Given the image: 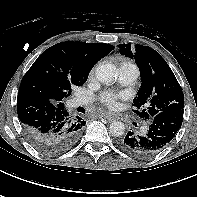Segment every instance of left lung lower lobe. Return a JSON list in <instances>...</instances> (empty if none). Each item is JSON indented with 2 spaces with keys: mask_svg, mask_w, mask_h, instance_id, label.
I'll return each mask as SVG.
<instances>
[{
  "mask_svg": "<svg viewBox=\"0 0 197 197\" xmlns=\"http://www.w3.org/2000/svg\"><path fill=\"white\" fill-rule=\"evenodd\" d=\"M183 109L163 111L154 116L143 135L129 131L120 138L119 147L126 153L145 158L162 151L182 125Z\"/></svg>",
  "mask_w": 197,
  "mask_h": 197,
  "instance_id": "left-lung-lower-lobe-1",
  "label": "left lung lower lobe"
}]
</instances>
